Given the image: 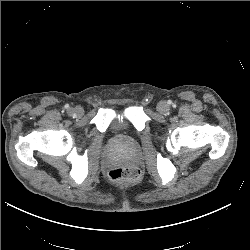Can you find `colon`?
Here are the masks:
<instances>
[{"label": "colon", "instance_id": "1", "mask_svg": "<svg viewBox=\"0 0 250 250\" xmlns=\"http://www.w3.org/2000/svg\"><path fill=\"white\" fill-rule=\"evenodd\" d=\"M109 178L115 183H125L138 180L139 173L131 168L119 166L109 171Z\"/></svg>", "mask_w": 250, "mask_h": 250}]
</instances>
